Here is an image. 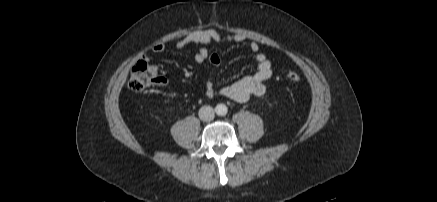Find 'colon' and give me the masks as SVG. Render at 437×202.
<instances>
[{
    "mask_svg": "<svg viewBox=\"0 0 437 202\" xmlns=\"http://www.w3.org/2000/svg\"><path fill=\"white\" fill-rule=\"evenodd\" d=\"M286 78L291 82H297L300 80V75L297 72L290 71L286 74ZM163 82L164 79L161 76L159 67L149 64L145 60H141L138 61L131 70L129 87L132 91L141 92L148 87Z\"/></svg>",
    "mask_w": 437,
    "mask_h": 202,
    "instance_id": "obj_1",
    "label": "colon"
}]
</instances>
